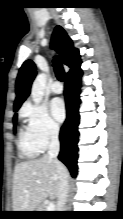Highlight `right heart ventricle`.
<instances>
[{"label": "right heart ventricle", "mask_w": 123, "mask_h": 219, "mask_svg": "<svg viewBox=\"0 0 123 219\" xmlns=\"http://www.w3.org/2000/svg\"><path fill=\"white\" fill-rule=\"evenodd\" d=\"M19 150L24 158H35L42 151L35 142L31 132L27 128H22L19 133Z\"/></svg>", "instance_id": "1"}]
</instances>
